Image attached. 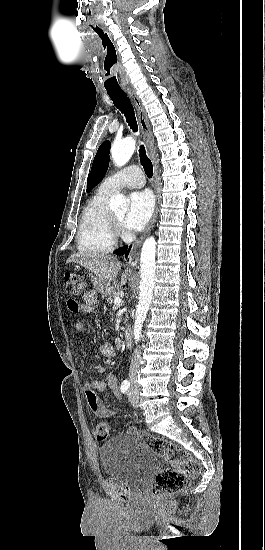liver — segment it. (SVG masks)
Wrapping results in <instances>:
<instances>
[{"mask_svg": "<svg viewBox=\"0 0 265 550\" xmlns=\"http://www.w3.org/2000/svg\"><path fill=\"white\" fill-rule=\"evenodd\" d=\"M70 262H75L87 268L96 276V279L100 283L107 285H110L116 278L121 268V263L117 259L109 255L97 253L74 254L68 258L67 263ZM121 284H126V273H123L121 276Z\"/></svg>", "mask_w": 265, "mask_h": 550, "instance_id": "liver-1", "label": "liver"}]
</instances>
